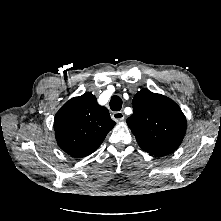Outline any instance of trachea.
I'll use <instances>...</instances> for the list:
<instances>
[{
    "mask_svg": "<svg viewBox=\"0 0 221 221\" xmlns=\"http://www.w3.org/2000/svg\"><path fill=\"white\" fill-rule=\"evenodd\" d=\"M110 108L113 111H120L122 108V99L119 96H113L110 100Z\"/></svg>",
    "mask_w": 221,
    "mask_h": 221,
    "instance_id": "trachea-1",
    "label": "trachea"
}]
</instances>
